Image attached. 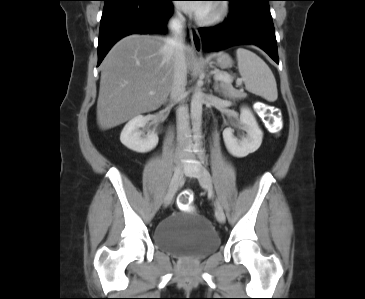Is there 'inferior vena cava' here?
I'll list each match as a JSON object with an SVG mask.
<instances>
[{
	"instance_id": "inferior-vena-cava-1",
	"label": "inferior vena cava",
	"mask_w": 365,
	"mask_h": 299,
	"mask_svg": "<svg viewBox=\"0 0 365 299\" xmlns=\"http://www.w3.org/2000/svg\"><path fill=\"white\" fill-rule=\"evenodd\" d=\"M171 37L169 44L174 48V75L171 88V100L182 99L185 94V85L187 82V65L185 61V18L180 12L170 19L168 25ZM177 138L178 154L185 153V148L189 143V114L188 108L184 105L178 107L177 112Z\"/></svg>"
}]
</instances>
